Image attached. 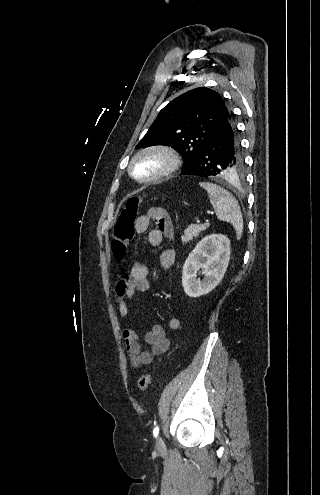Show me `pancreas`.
<instances>
[{
	"mask_svg": "<svg viewBox=\"0 0 320 495\" xmlns=\"http://www.w3.org/2000/svg\"><path fill=\"white\" fill-rule=\"evenodd\" d=\"M209 227L207 223L203 225H198V224H191L185 231L184 234L182 235L181 239L183 244H186L193 240L194 238H197L200 233L204 230H206Z\"/></svg>",
	"mask_w": 320,
	"mask_h": 495,
	"instance_id": "1",
	"label": "pancreas"
}]
</instances>
